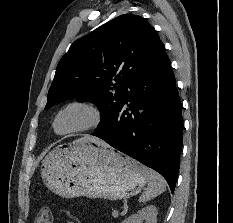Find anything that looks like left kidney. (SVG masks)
<instances>
[{
	"instance_id": "5707ae66",
	"label": "left kidney",
	"mask_w": 233,
	"mask_h": 223,
	"mask_svg": "<svg viewBox=\"0 0 233 223\" xmlns=\"http://www.w3.org/2000/svg\"><path fill=\"white\" fill-rule=\"evenodd\" d=\"M157 207L155 205H146V207H142L139 209L137 213H133V215H129L126 217L122 223H157Z\"/></svg>"
}]
</instances>
